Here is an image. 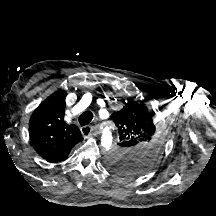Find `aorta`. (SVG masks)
<instances>
[{"label":"aorta","mask_w":216,"mask_h":216,"mask_svg":"<svg viewBox=\"0 0 216 216\" xmlns=\"http://www.w3.org/2000/svg\"><path fill=\"white\" fill-rule=\"evenodd\" d=\"M113 129L112 124L105 125L102 130L101 144L106 149L109 150L113 142Z\"/></svg>","instance_id":"aorta-1"}]
</instances>
